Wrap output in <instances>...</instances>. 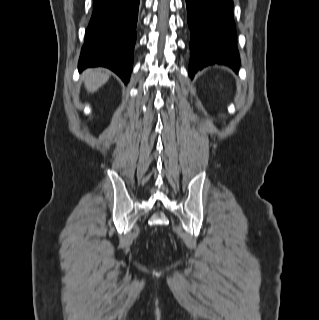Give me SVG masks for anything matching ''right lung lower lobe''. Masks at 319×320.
<instances>
[{"instance_id":"right-lung-lower-lobe-1","label":"right lung lower lobe","mask_w":319,"mask_h":320,"mask_svg":"<svg viewBox=\"0 0 319 320\" xmlns=\"http://www.w3.org/2000/svg\"><path fill=\"white\" fill-rule=\"evenodd\" d=\"M78 68L103 66L127 83L133 65L139 0H93Z\"/></svg>"}]
</instances>
